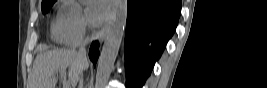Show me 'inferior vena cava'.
I'll return each instance as SVG.
<instances>
[{
	"label": "inferior vena cava",
	"mask_w": 267,
	"mask_h": 88,
	"mask_svg": "<svg viewBox=\"0 0 267 88\" xmlns=\"http://www.w3.org/2000/svg\"><path fill=\"white\" fill-rule=\"evenodd\" d=\"M87 41H88V37L80 44L79 50L77 51V57L82 61H86L85 46L87 44ZM80 75H81V78L79 77V88H82L83 87L82 73Z\"/></svg>",
	"instance_id": "obj_1"
}]
</instances>
